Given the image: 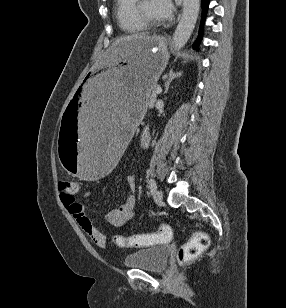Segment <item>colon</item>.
Here are the masks:
<instances>
[{
    "label": "colon",
    "instance_id": "colon-1",
    "mask_svg": "<svg viewBox=\"0 0 286 308\" xmlns=\"http://www.w3.org/2000/svg\"><path fill=\"white\" fill-rule=\"evenodd\" d=\"M59 190L63 197L74 198L78 192V183L74 180H62L59 182ZM172 230L163 226L159 232L114 237V243L119 247H148L170 241ZM209 236L202 231H196L192 237L180 248L178 253L179 262L184 264L197 258L209 245Z\"/></svg>",
    "mask_w": 286,
    "mask_h": 308
}]
</instances>
